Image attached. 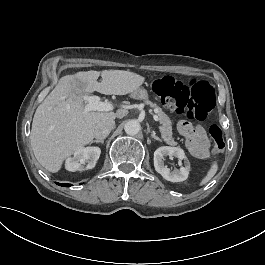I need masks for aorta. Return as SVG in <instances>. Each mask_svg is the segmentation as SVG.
Masks as SVG:
<instances>
[{
    "label": "aorta",
    "instance_id": "1",
    "mask_svg": "<svg viewBox=\"0 0 265 265\" xmlns=\"http://www.w3.org/2000/svg\"><path fill=\"white\" fill-rule=\"evenodd\" d=\"M124 130L127 135H137L140 131V124L136 120H129L125 123Z\"/></svg>",
    "mask_w": 265,
    "mask_h": 265
}]
</instances>
